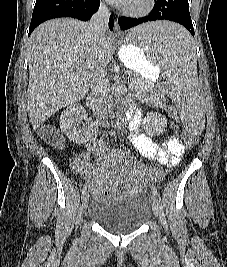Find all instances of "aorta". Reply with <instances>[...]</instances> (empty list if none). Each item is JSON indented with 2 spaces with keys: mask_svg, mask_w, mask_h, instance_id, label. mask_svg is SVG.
Masks as SVG:
<instances>
[{
  "mask_svg": "<svg viewBox=\"0 0 227 267\" xmlns=\"http://www.w3.org/2000/svg\"><path fill=\"white\" fill-rule=\"evenodd\" d=\"M115 115H116V120H117V124H118V120L120 118V114L117 112V113H115Z\"/></svg>",
  "mask_w": 227,
  "mask_h": 267,
  "instance_id": "762f6f07",
  "label": "aorta"
}]
</instances>
